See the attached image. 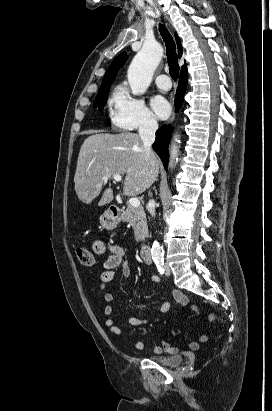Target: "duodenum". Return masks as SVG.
Segmentation results:
<instances>
[{"label":"duodenum","mask_w":272,"mask_h":411,"mask_svg":"<svg viewBox=\"0 0 272 411\" xmlns=\"http://www.w3.org/2000/svg\"><path fill=\"white\" fill-rule=\"evenodd\" d=\"M111 215L114 217H118L122 214L123 209L117 205H111L108 209ZM140 255L142 259L144 260L145 263L151 264L152 263V258H151V249L147 245H143L140 250Z\"/></svg>","instance_id":"410a0bca"}]
</instances>
